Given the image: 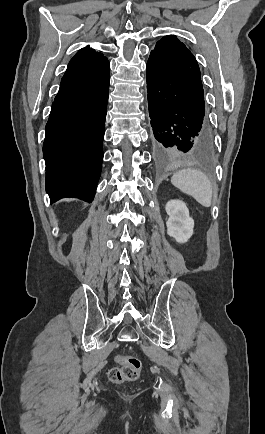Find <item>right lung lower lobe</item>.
Here are the masks:
<instances>
[{
    "label": "right lung lower lobe",
    "mask_w": 265,
    "mask_h": 434,
    "mask_svg": "<svg viewBox=\"0 0 265 434\" xmlns=\"http://www.w3.org/2000/svg\"><path fill=\"white\" fill-rule=\"evenodd\" d=\"M109 69L106 57L87 46L70 60L61 80L43 145L51 202L94 198L103 160Z\"/></svg>",
    "instance_id": "obj_1"
}]
</instances>
